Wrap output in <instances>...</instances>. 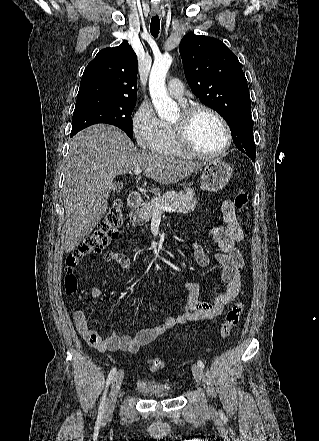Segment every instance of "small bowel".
<instances>
[{
    "label": "small bowel",
    "instance_id": "small-bowel-1",
    "mask_svg": "<svg viewBox=\"0 0 319 441\" xmlns=\"http://www.w3.org/2000/svg\"><path fill=\"white\" fill-rule=\"evenodd\" d=\"M222 215L225 224L214 227L211 230V234L219 249L215 258L222 267L221 277L225 284V289L216 296L213 302L200 301L198 299V284L188 281L184 284V288L188 293L187 306L182 314L177 317L170 316L163 324L141 329L135 335H120L113 332L107 339H103L90 326L84 311L77 309L74 312L75 324L78 332L87 343L103 352L125 351L136 353L140 348L150 344L176 324L209 320L222 314L225 306L238 296L241 286V271L244 267L242 254L237 247V244L244 238V232L236 216L232 200H224L222 203ZM191 250L195 261L200 266L205 267L209 264L210 258L200 244L192 243ZM104 260L109 263H116L127 271L132 270V263L129 257L119 251H107L104 254ZM91 295L93 298L99 299L102 296V291L96 285H92Z\"/></svg>",
    "mask_w": 319,
    "mask_h": 441
}]
</instances>
